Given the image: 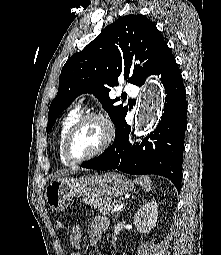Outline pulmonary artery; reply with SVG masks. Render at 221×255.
I'll use <instances>...</instances> for the list:
<instances>
[{"label":"pulmonary artery","instance_id":"obj_1","mask_svg":"<svg viewBox=\"0 0 221 255\" xmlns=\"http://www.w3.org/2000/svg\"><path fill=\"white\" fill-rule=\"evenodd\" d=\"M125 92L128 94V95H131V96H136L137 93H138V90H137V87L135 84L131 83V82H126L123 86ZM86 99V95L85 94H82L80 95L78 101H79V104L82 105L83 102L85 101Z\"/></svg>","mask_w":221,"mask_h":255}]
</instances>
